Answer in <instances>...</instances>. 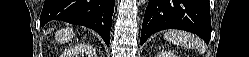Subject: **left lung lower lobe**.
Returning a JSON list of instances; mask_svg holds the SVG:
<instances>
[{"instance_id":"obj_1","label":"left lung lower lobe","mask_w":249,"mask_h":57,"mask_svg":"<svg viewBox=\"0 0 249 57\" xmlns=\"http://www.w3.org/2000/svg\"><path fill=\"white\" fill-rule=\"evenodd\" d=\"M164 29H181L211 38L209 0H149L145 11L140 44Z\"/></svg>"}]
</instances>
